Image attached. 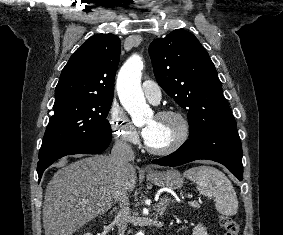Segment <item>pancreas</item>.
<instances>
[{"mask_svg":"<svg viewBox=\"0 0 283 235\" xmlns=\"http://www.w3.org/2000/svg\"><path fill=\"white\" fill-rule=\"evenodd\" d=\"M192 207L199 208V204H194V205H192Z\"/></svg>","mask_w":283,"mask_h":235,"instance_id":"1","label":"pancreas"}]
</instances>
